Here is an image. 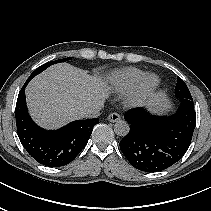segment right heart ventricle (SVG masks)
<instances>
[{
  "instance_id": "right-heart-ventricle-1",
  "label": "right heart ventricle",
  "mask_w": 211,
  "mask_h": 211,
  "mask_svg": "<svg viewBox=\"0 0 211 211\" xmlns=\"http://www.w3.org/2000/svg\"><path fill=\"white\" fill-rule=\"evenodd\" d=\"M145 76V72L137 68H126L116 72L111 78L113 88L120 93H129L134 91L141 80Z\"/></svg>"
}]
</instances>
